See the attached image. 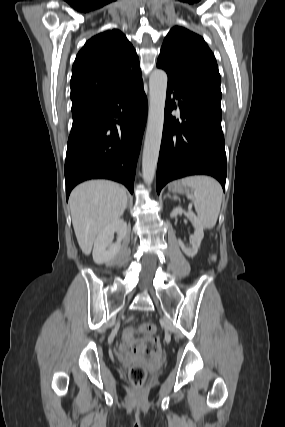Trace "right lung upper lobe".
Listing matches in <instances>:
<instances>
[{"label": "right lung upper lobe", "mask_w": 285, "mask_h": 427, "mask_svg": "<svg viewBox=\"0 0 285 427\" xmlns=\"http://www.w3.org/2000/svg\"><path fill=\"white\" fill-rule=\"evenodd\" d=\"M141 77L139 59L125 35L117 29L86 42L72 67V109L97 99Z\"/></svg>", "instance_id": "1"}]
</instances>
